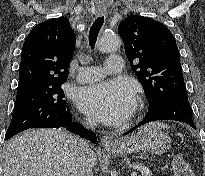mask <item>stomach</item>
Returning <instances> with one entry per match:
<instances>
[{"mask_svg": "<svg viewBox=\"0 0 205 176\" xmlns=\"http://www.w3.org/2000/svg\"><path fill=\"white\" fill-rule=\"evenodd\" d=\"M165 126L153 123L142 127L136 134L120 139L108 151L114 155L133 152H153L163 154L171 147V137L163 131Z\"/></svg>", "mask_w": 205, "mask_h": 176, "instance_id": "stomach-1", "label": "stomach"}]
</instances>
